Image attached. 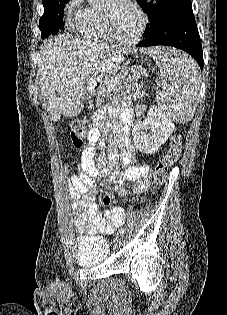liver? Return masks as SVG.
Returning a JSON list of instances; mask_svg holds the SVG:
<instances>
[{"label": "liver", "mask_w": 227, "mask_h": 315, "mask_svg": "<svg viewBox=\"0 0 227 315\" xmlns=\"http://www.w3.org/2000/svg\"><path fill=\"white\" fill-rule=\"evenodd\" d=\"M40 49L41 61L37 72L40 91L48 100V110L54 122L61 115L76 117L80 114L90 75L102 73L111 55H119L114 45L97 40H79L69 35L51 37Z\"/></svg>", "instance_id": "1"}]
</instances>
